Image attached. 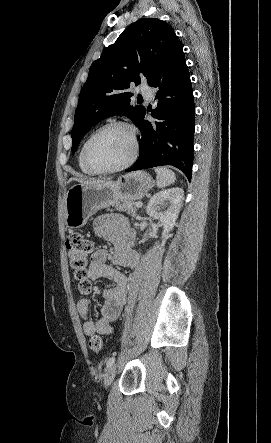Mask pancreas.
I'll list each match as a JSON object with an SVG mask.
<instances>
[{
    "label": "pancreas",
    "mask_w": 271,
    "mask_h": 443,
    "mask_svg": "<svg viewBox=\"0 0 271 443\" xmlns=\"http://www.w3.org/2000/svg\"><path fill=\"white\" fill-rule=\"evenodd\" d=\"M115 210H119V212H127V214H130L132 218H136L137 216L135 202H117Z\"/></svg>",
    "instance_id": "1"
}]
</instances>
